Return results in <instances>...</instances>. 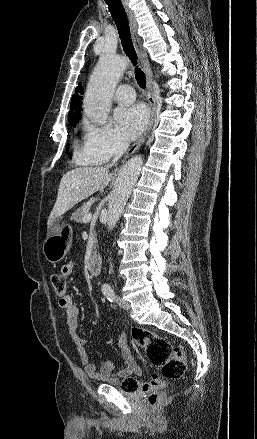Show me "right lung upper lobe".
<instances>
[{"instance_id": "right-lung-upper-lobe-1", "label": "right lung upper lobe", "mask_w": 257, "mask_h": 439, "mask_svg": "<svg viewBox=\"0 0 257 439\" xmlns=\"http://www.w3.org/2000/svg\"><path fill=\"white\" fill-rule=\"evenodd\" d=\"M82 94H83V87L81 86V84H79L75 90V94L72 96L69 113H79V110L81 108L79 99H82L81 96Z\"/></svg>"}]
</instances>
